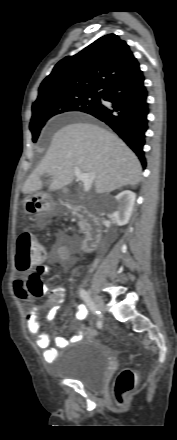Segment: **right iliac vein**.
Masks as SVG:
<instances>
[{"label":"right iliac vein","mask_w":177,"mask_h":440,"mask_svg":"<svg viewBox=\"0 0 177 440\" xmlns=\"http://www.w3.org/2000/svg\"><path fill=\"white\" fill-rule=\"evenodd\" d=\"M93 300H94V304H95L97 310L100 311L101 313H104L106 310V307H105V303H104L103 299L101 298V296L94 294Z\"/></svg>","instance_id":"right-iliac-vein-1"}]
</instances>
